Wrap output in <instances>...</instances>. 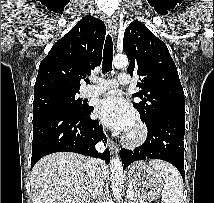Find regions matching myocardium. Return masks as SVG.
I'll return each mask as SVG.
<instances>
[{
    "mask_svg": "<svg viewBox=\"0 0 214 203\" xmlns=\"http://www.w3.org/2000/svg\"><path fill=\"white\" fill-rule=\"evenodd\" d=\"M147 131L143 125L138 124L131 132L125 135L124 142L129 146H138L145 142Z\"/></svg>",
    "mask_w": 214,
    "mask_h": 203,
    "instance_id": "myocardium-1",
    "label": "myocardium"
}]
</instances>
